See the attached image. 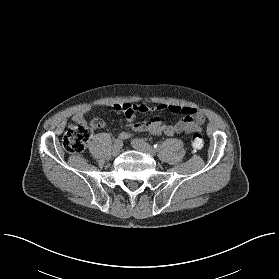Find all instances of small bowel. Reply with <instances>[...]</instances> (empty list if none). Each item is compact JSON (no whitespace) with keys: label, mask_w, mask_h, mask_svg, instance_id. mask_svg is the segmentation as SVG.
Wrapping results in <instances>:
<instances>
[{"label":"small bowel","mask_w":279,"mask_h":279,"mask_svg":"<svg viewBox=\"0 0 279 279\" xmlns=\"http://www.w3.org/2000/svg\"><path fill=\"white\" fill-rule=\"evenodd\" d=\"M139 113H147L150 108L145 104H139ZM114 108L119 112H122L130 122V128L134 132H149L154 135H166L174 136L176 134H191L193 132H199L202 130V125L205 122L204 114L193 108L180 107L176 105H167L164 103H157L156 109L158 111H167L173 114H180V120L175 124H165L160 117L156 116L149 120L137 121L136 114L131 111V105L127 103L115 104ZM90 111V107L86 106L81 108L73 117V122L83 121L86 122L84 116ZM100 121L98 125H95L96 129L103 128L105 126L104 120L95 118ZM121 139H128L131 137L130 133L121 132L119 134Z\"/></svg>","instance_id":"small-bowel-1"}]
</instances>
